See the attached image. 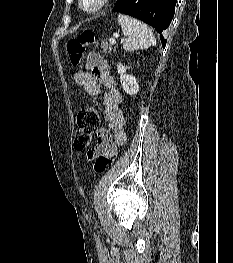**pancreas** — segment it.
<instances>
[{
	"label": "pancreas",
	"instance_id": "1",
	"mask_svg": "<svg viewBox=\"0 0 233 263\" xmlns=\"http://www.w3.org/2000/svg\"><path fill=\"white\" fill-rule=\"evenodd\" d=\"M101 48L103 49L104 53H108V54L111 53L113 50L112 47L109 45L107 40L102 41Z\"/></svg>",
	"mask_w": 233,
	"mask_h": 263
}]
</instances>
